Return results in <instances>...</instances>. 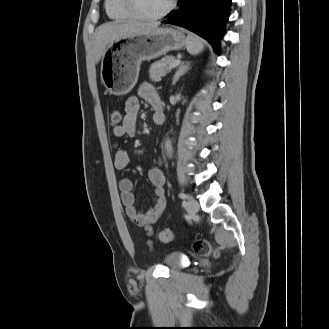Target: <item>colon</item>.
Returning a JSON list of instances; mask_svg holds the SVG:
<instances>
[{
    "label": "colon",
    "instance_id": "colon-1",
    "mask_svg": "<svg viewBox=\"0 0 329 329\" xmlns=\"http://www.w3.org/2000/svg\"><path fill=\"white\" fill-rule=\"evenodd\" d=\"M110 122L113 126H119L122 124L123 114L120 109H113L111 111ZM158 238L161 242H170L174 238V230L171 228H164L160 230ZM194 250L200 256H208L213 254L212 247L206 239H197L194 242Z\"/></svg>",
    "mask_w": 329,
    "mask_h": 329
}]
</instances>
